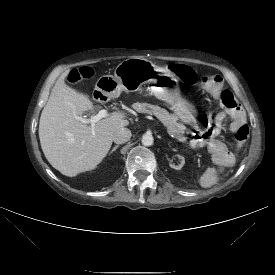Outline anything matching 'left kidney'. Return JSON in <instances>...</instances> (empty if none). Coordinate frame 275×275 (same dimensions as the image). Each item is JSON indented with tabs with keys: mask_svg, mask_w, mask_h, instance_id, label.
<instances>
[{
	"mask_svg": "<svg viewBox=\"0 0 275 275\" xmlns=\"http://www.w3.org/2000/svg\"><path fill=\"white\" fill-rule=\"evenodd\" d=\"M177 157L180 159V162H181L180 165H178V164H179V161H178V159L175 158V157L170 158L169 161H168V164H169V166H170L171 168H174V169H176V170H179V169H181V168L183 167V165L185 164V159H184V157L181 156V155H177Z\"/></svg>",
	"mask_w": 275,
	"mask_h": 275,
	"instance_id": "left-kidney-1",
	"label": "left kidney"
}]
</instances>
